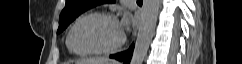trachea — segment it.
<instances>
[{"mask_svg": "<svg viewBox=\"0 0 242 64\" xmlns=\"http://www.w3.org/2000/svg\"><path fill=\"white\" fill-rule=\"evenodd\" d=\"M139 2H143V0H138Z\"/></svg>", "mask_w": 242, "mask_h": 64, "instance_id": "obj_1", "label": "trachea"}]
</instances>
